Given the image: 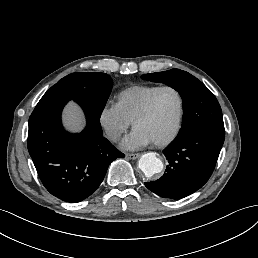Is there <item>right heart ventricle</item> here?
<instances>
[{"label":"right heart ventricle","mask_w":258,"mask_h":258,"mask_svg":"<svg viewBox=\"0 0 258 258\" xmlns=\"http://www.w3.org/2000/svg\"><path fill=\"white\" fill-rule=\"evenodd\" d=\"M157 88V85H133L125 88L117 95L115 105L129 123L134 124Z\"/></svg>","instance_id":"1"}]
</instances>
